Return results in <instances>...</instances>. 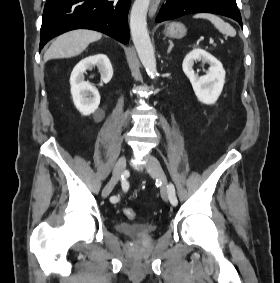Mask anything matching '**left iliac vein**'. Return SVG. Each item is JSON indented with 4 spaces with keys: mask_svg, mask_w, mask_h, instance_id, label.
Instances as JSON below:
<instances>
[{
    "mask_svg": "<svg viewBox=\"0 0 280 283\" xmlns=\"http://www.w3.org/2000/svg\"><path fill=\"white\" fill-rule=\"evenodd\" d=\"M149 163L146 166L147 172L157 178L161 182L160 192L161 196L165 201H168V181L167 177L159 163V161L152 155L147 156Z\"/></svg>",
    "mask_w": 280,
    "mask_h": 283,
    "instance_id": "1",
    "label": "left iliac vein"
}]
</instances>
